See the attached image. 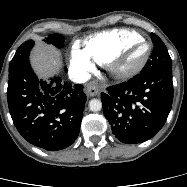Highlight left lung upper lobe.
<instances>
[{
	"label": "left lung upper lobe",
	"instance_id": "1",
	"mask_svg": "<svg viewBox=\"0 0 187 187\" xmlns=\"http://www.w3.org/2000/svg\"><path fill=\"white\" fill-rule=\"evenodd\" d=\"M154 49L150 60L146 63L140 73H148L166 69H172V61L168 50L162 40L154 33H151Z\"/></svg>",
	"mask_w": 187,
	"mask_h": 187
}]
</instances>
